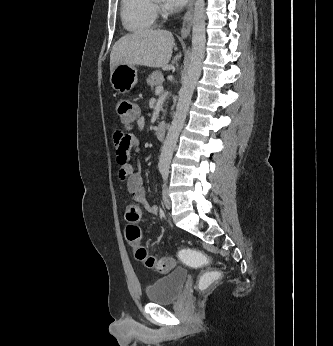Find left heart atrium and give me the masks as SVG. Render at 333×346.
Listing matches in <instances>:
<instances>
[{
    "instance_id": "obj_1",
    "label": "left heart atrium",
    "mask_w": 333,
    "mask_h": 346,
    "mask_svg": "<svg viewBox=\"0 0 333 346\" xmlns=\"http://www.w3.org/2000/svg\"><path fill=\"white\" fill-rule=\"evenodd\" d=\"M165 9L169 11H177L185 6L188 0H162Z\"/></svg>"
}]
</instances>
